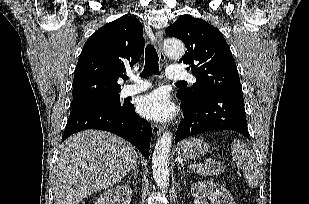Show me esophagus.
Instances as JSON below:
<instances>
[{"instance_id":"esophagus-1","label":"esophagus","mask_w":309,"mask_h":204,"mask_svg":"<svg viewBox=\"0 0 309 204\" xmlns=\"http://www.w3.org/2000/svg\"><path fill=\"white\" fill-rule=\"evenodd\" d=\"M162 39H163V31L159 30L155 33V35L152 37V42L155 45L160 60L164 62L166 60L165 53L163 51V45H162ZM164 128L162 126H159L157 124H152V132L154 135L159 136L163 132Z\"/></svg>"}]
</instances>
